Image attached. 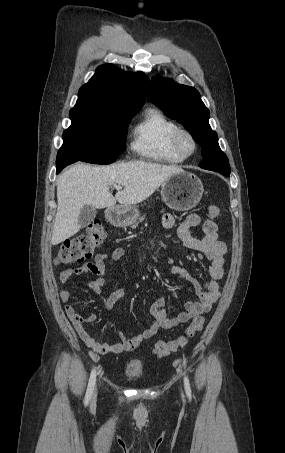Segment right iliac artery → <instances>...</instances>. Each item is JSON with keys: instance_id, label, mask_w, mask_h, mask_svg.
<instances>
[{"instance_id": "right-iliac-artery-1", "label": "right iliac artery", "mask_w": 285, "mask_h": 453, "mask_svg": "<svg viewBox=\"0 0 285 453\" xmlns=\"http://www.w3.org/2000/svg\"><path fill=\"white\" fill-rule=\"evenodd\" d=\"M95 382H96V369H93L89 378L88 387L84 399L85 405H87L91 400Z\"/></svg>"}]
</instances>
